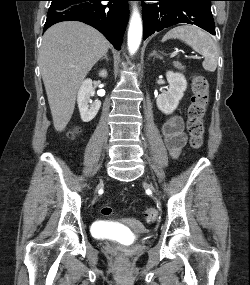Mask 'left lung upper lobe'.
Masks as SVG:
<instances>
[{
    "mask_svg": "<svg viewBox=\"0 0 250 285\" xmlns=\"http://www.w3.org/2000/svg\"><path fill=\"white\" fill-rule=\"evenodd\" d=\"M205 1H207V2H211V1H213V0H205Z\"/></svg>",
    "mask_w": 250,
    "mask_h": 285,
    "instance_id": "5c2ea615",
    "label": "left lung upper lobe"
}]
</instances>
